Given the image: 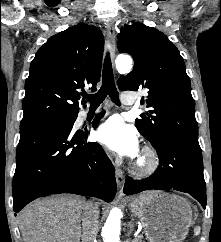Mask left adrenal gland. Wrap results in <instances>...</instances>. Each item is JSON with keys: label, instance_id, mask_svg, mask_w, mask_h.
Returning a JSON list of instances; mask_svg holds the SVG:
<instances>
[{"label": "left adrenal gland", "instance_id": "obj_1", "mask_svg": "<svg viewBox=\"0 0 221 242\" xmlns=\"http://www.w3.org/2000/svg\"><path fill=\"white\" fill-rule=\"evenodd\" d=\"M133 221H134V218L133 217H131V221H130V223L128 224V226L130 227V231H129V233H128V236L132 233V231H133ZM126 242H130V241H126Z\"/></svg>", "mask_w": 221, "mask_h": 242}]
</instances>
